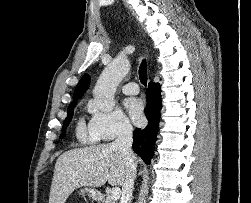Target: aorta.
Listing matches in <instances>:
<instances>
[{
  "instance_id": "aorta-1",
  "label": "aorta",
  "mask_w": 251,
  "mask_h": 203,
  "mask_svg": "<svg viewBox=\"0 0 251 203\" xmlns=\"http://www.w3.org/2000/svg\"><path fill=\"white\" fill-rule=\"evenodd\" d=\"M129 70L130 63L125 58H116L105 67L93 92L95 103L101 111L111 112L113 110L117 86L127 75Z\"/></svg>"
}]
</instances>
